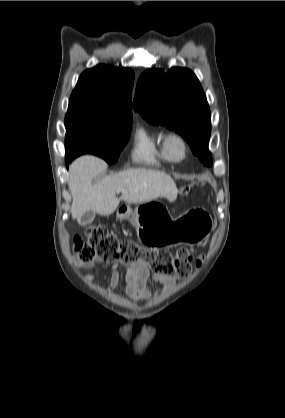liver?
I'll use <instances>...</instances> for the list:
<instances>
[{"mask_svg": "<svg viewBox=\"0 0 285 418\" xmlns=\"http://www.w3.org/2000/svg\"><path fill=\"white\" fill-rule=\"evenodd\" d=\"M107 169L100 158L85 155L77 158L69 167V189L72 195L71 214L80 221L89 210L100 215H110L118 207L120 200L127 203H146L158 197L169 201L177 198V187L168 174L135 168L102 178L96 184L92 180ZM124 189L120 198L117 189Z\"/></svg>", "mask_w": 285, "mask_h": 418, "instance_id": "6515ba94", "label": "liver"}]
</instances>
